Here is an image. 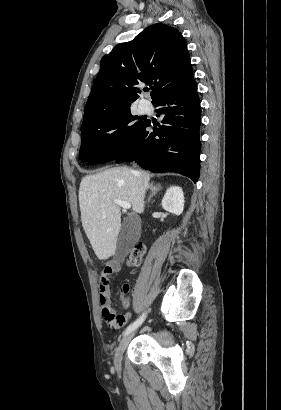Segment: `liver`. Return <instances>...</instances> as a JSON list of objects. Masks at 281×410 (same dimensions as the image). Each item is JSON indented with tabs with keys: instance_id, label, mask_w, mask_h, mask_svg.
<instances>
[{
	"instance_id": "6515ba94",
	"label": "liver",
	"mask_w": 281,
	"mask_h": 410,
	"mask_svg": "<svg viewBox=\"0 0 281 410\" xmlns=\"http://www.w3.org/2000/svg\"><path fill=\"white\" fill-rule=\"evenodd\" d=\"M138 178H141L144 189H148L151 175L127 167L107 169L81 180L79 205L82 226L100 260L108 259L116 251L121 211L114 200L129 202L136 213L144 212Z\"/></svg>"
}]
</instances>
